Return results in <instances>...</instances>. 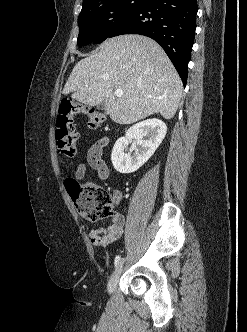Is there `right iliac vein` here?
Listing matches in <instances>:
<instances>
[{
    "label": "right iliac vein",
    "instance_id": "right-iliac-vein-1",
    "mask_svg": "<svg viewBox=\"0 0 247 332\" xmlns=\"http://www.w3.org/2000/svg\"><path fill=\"white\" fill-rule=\"evenodd\" d=\"M124 259H122L119 264L117 265L115 271L113 272L109 282H108V286H107V290L109 293L113 292L114 289L117 286V283L119 281L121 272H122V268H123V264H124Z\"/></svg>",
    "mask_w": 247,
    "mask_h": 332
}]
</instances>
